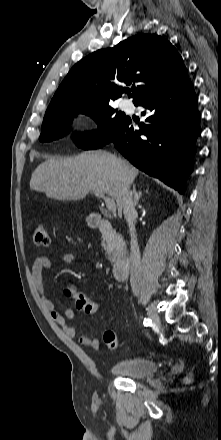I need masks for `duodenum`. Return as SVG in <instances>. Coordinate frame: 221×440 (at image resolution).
Listing matches in <instances>:
<instances>
[{"label":"duodenum","mask_w":221,"mask_h":440,"mask_svg":"<svg viewBox=\"0 0 221 440\" xmlns=\"http://www.w3.org/2000/svg\"><path fill=\"white\" fill-rule=\"evenodd\" d=\"M90 223L93 227L99 229L107 239L118 238L117 232L111 223L98 214H93L90 216ZM130 268L131 257L128 254H123L113 266L114 278L119 281L125 280L129 275Z\"/></svg>","instance_id":"duodenum-1"}]
</instances>
